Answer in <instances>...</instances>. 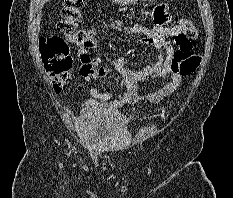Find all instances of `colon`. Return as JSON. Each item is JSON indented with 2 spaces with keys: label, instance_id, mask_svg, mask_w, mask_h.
Here are the masks:
<instances>
[{
  "label": "colon",
  "instance_id": "1",
  "mask_svg": "<svg viewBox=\"0 0 233 198\" xmlns=\"http://www.w3.org/2000/svg\"><path fill=\"white\" fill-rule=\"evenodd\" d=\"M63 4L62 20L58 22L57 29L69 42L86 48L93 47L95 30L81 29L78 25L84 11V0H63ZM177 24L184 30L188 39L197 37V29L189 20L179 19ZM39 50L53 89L60 92L70 79L72 67L68 44L61 37L46 34L39 39ZM200 61L198 55L181 52L174 58V69L182 76L190 75L198 68Z\"/></svg>",
  "mask_w": 233,
  "mask_h": 198
}]
</instances>
